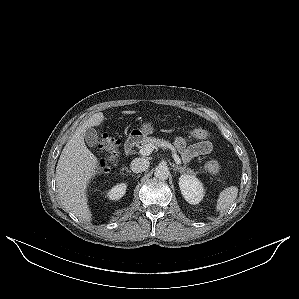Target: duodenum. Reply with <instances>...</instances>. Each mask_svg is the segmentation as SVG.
Returning <instances> with one entry per match:
<instances>
[{
    "label": "duodenum",
    "instance_id": "obj_1",
    "mask_svg": "<svg viewBox=\"0 0 299 299\" xmlns=\"http://www.w3.org/2000/svg\"><path fill=\"white\" fill-rule=\"evenodd\" d=\"M136 144V140L134 137H129L125 142L124 150L127 154H130Z\"/></svg>",
    "mask_w": 299,
    "mask_h": 299
}]
</instances>
